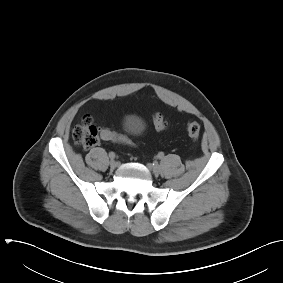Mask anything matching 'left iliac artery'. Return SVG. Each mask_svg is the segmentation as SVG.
<instances>
[{"instance_id": "left-iliac-artery-1", "label": "left iliac artery", "mask_w": 283, "mask_h": 283, "mask_svg": "<svg viewBox=\"0 0 283 283\" xmlns=\"http://www.w3.org/2000/svg\"><path fill=\"white\" fill-rule=\"evenodd\" d=\"M157 157H158V159H162L164 157V153L160 152Z\"/></svg>"}]
</instances>
